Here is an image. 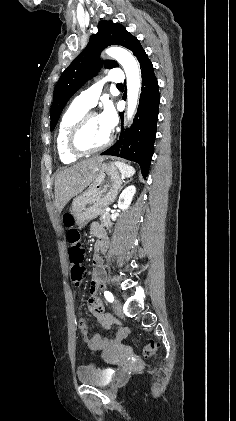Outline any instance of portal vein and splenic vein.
<instances>
[{
  "mask_svg": "<svg viewBox=\"0 0 236 421\" xmlns=\"http://www.w3.org/2000/svg\"><path fill=\"white\" fill-rule=\"evenodd\" d=\"M106 211H110V208H106Z\"/></svg>",
  "mask_w": 236,
  "mask_h": 421,
  "instance_id": "18ae733b",
  "label": "portal vein and splenic vein"
}]
</instances>
